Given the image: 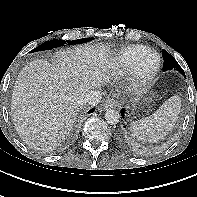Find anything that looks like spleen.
<instances>
[{
	"label": "spleen",
	"mask_w": 197,
	"mask_h": 197,
	"mask_svg": "<svg viewBox=\"0 0 197 197\" xmlns=\"http://www.w3.org/2000/svg\"><path fill=\"white\" fill-rule=\"evenodd\" d=\"M180 109L181 99L178 95H174L149 117L132 122V131L140 139L156 142L173 129Z\"/></svg>",
	"instance_id": "3e777b00"
}]
</instances>
